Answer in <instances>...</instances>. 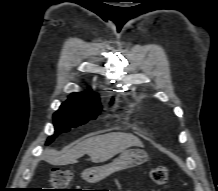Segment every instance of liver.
Listing matches in <instances>:
<instances>
[{"label": "liver", "instance_id": "obj_1", "mask_svg": "<svg viewBox=\"0 0 218 191\" xmlns=\"http://www.w3.org/2000/svg\"><path fill=\"white\" fill-rule=\"evenodd\" d=\"M133 146L143 147V144L132 134L112 132L83 140L63 154L46 150L44 158L52 165H67L77 163L80 157L88 154L93 163H101Z\"/></svg>", "mask_w": 218, "mask_h": 191}]
</instances>
